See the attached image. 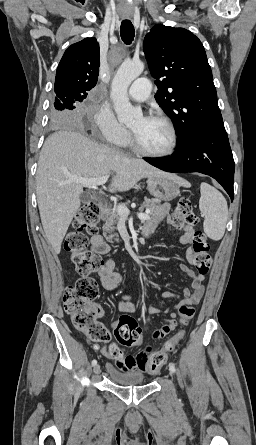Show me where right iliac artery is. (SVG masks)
Segmentation results:
<instances>
[{"instance_id":"1","label":"right iliac artery","mask_w":256,"mask_h":445,"mask_svg":"<svg viewBox=\"0 0 256 445\" xmlns=\"http://www.w3.org/2000/svg\"><path fill=\"white\" fill-rule=\"evenodd\" d=\"M97 364V361L94 359V360H92V365L94 366V365H96Z\"/></svg>"}]
</instances>
